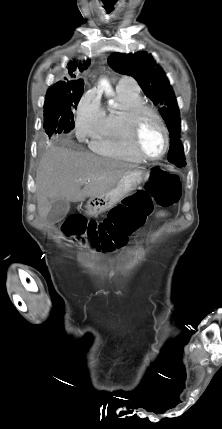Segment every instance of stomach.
<instances>
[{
	"instance_id": "stomach-1",
	"label": "stomach",
	"mask_w": 222,
	"mask_h": 429,
	"mask_svg": "<svg viewBox=\"0 0 222 429\" xmlns=\"http://www.w3.org/2000/svg\"><path fill=\"white\" fill-rule=\"evenodd\" d=\"M147 172L145 168H136L126 173L111 190L88 200L87 213L96 216L111 209L148 180Z\"/></svg>"
}]
</instances>
